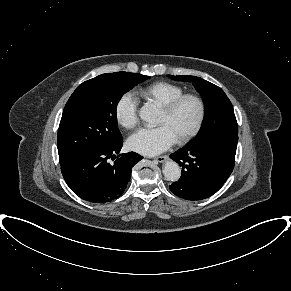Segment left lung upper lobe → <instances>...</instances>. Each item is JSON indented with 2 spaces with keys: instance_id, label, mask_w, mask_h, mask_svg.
<instances>
[{
  "instance_id": "1",
  "label": "left lung upper lobe",
  "mask_w": 291,
  "mask_h": 291,
  "mask_svg": "<svg viewBox=\"0 0 291 291\" xmlns=\"http://www.w3.org/2000/svg\"><path fill=\"white\" fill-rule=\"evenodd\" d=\"M168 77L177 81L192 82L205 103L202 128L189 143H199L218 133L238 134V125L232 104L220 87L196 76L168 75Z\"/></svg>"
}]
</instances>
